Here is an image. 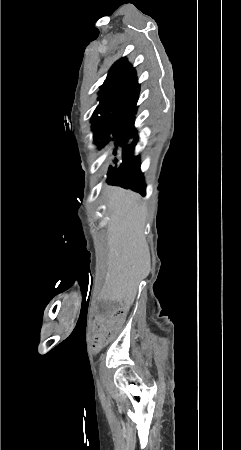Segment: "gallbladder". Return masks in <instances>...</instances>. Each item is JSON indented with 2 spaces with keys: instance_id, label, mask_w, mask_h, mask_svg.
Wrapping results in <instances>:
<instances>
[{
  "instance_id": "1",
  "label": "gallbladder",
  "mask_w": 241,
  "mask_h": 450,
  "mask_svg": "<svg viewBox=\"0 0 241 450\" xmlns=\"http://www.w3.org/2000/svg\"><path fill=\"white\" fill-rule=\"evenodd\" d=\"M99 310H113L114 303L113 301H99L98 303Z\"/></svg>"
}]
</instances>
